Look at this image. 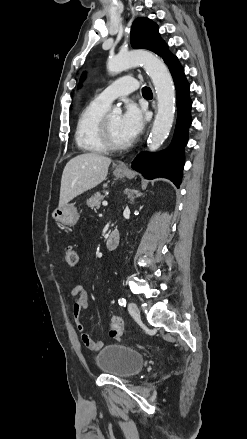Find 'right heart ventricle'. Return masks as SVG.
Returning a JSON list of instances; mask_svg holds the SVG:
<instances>
[{
	"mask_svg": "<svg viewBox=\"0 0 247 439\" xmlns=\"http://www.w3.org/2000/svg\"><path fill=\"white\" fill-rule=\"evenodd\" d=\"M108 107L95 98L82 110L75 130V142L79 149L91 153H104L108 150L100 137L101 121Z\"/></svg>",
	"mask_w": 247,
	"mask_h": 439,
	"instance_id": "e07e8e85",
	"label": "right heart ventricle"
}]
</instances>
